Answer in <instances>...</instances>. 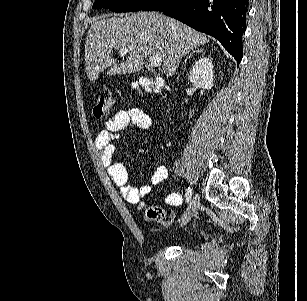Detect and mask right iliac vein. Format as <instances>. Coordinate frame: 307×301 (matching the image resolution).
<instances>
[{
  "label": "right iliac vein",
  "instance_id": "1",
  "mask_svg": "<svg viewBox=\"0 0 307 301\" xmlns=\"http://www.w3.org/2000/svg\"><path fill=\"white\" fill-rule=\"evenodd\" d=\"M189 189L191 190V188L189 187ZM192 191V190H191ZM200 205V199L199 196L196 195L195 197H193L191 199V203L186 211V213L184 214V217L182 219L181 222V227H184L187 225V223L191 220V218L193 217V215L196 213V211L198 210Z\"/></svg>",
  "mask_w": 307,
  "mask_h": 301
}]
</instances>
